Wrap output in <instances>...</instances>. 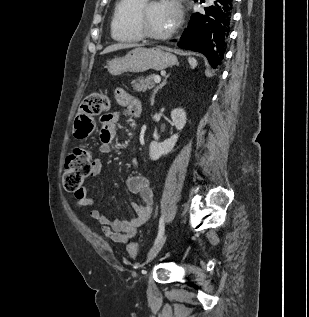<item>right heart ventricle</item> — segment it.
I'll return each mask as SVG.
<instances>
[{
	"label": "right heart ventricle",
	"instance_id": "e07e8e85",
	"mask_svg": "<svg viewBox=\"0 0 309 317\" xmlns=\"http://www.w3.org/2000/svg\"><path fill=\"white\" fill-rule=\"evenodd\" d=\"M146 0H118L111 19V35L121 42H135L143 37L136 26L138 8Z\"/></svg>",
	"mask_w": 309,
	"mask_h": 317
}]
</instances>
